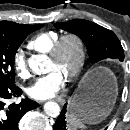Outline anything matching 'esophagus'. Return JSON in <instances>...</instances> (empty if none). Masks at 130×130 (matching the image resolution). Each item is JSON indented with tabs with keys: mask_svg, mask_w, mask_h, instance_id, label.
Returning <instances> with one entry per match:
<instances>
[{
	"mask_svg": "<svg viewBox=\"0 0 130 130\" xmlns=\"http://www.w3.org/2000/svg\"><path fill=\"white\" fill-rule=\"evenodd\" d=\"M54 100L61 105H63L65 103V100L63 98H55ZM39 103H43V102L39 101Z\"/></svg>",
	"mask_w": 130,
	"mask_h": 130,
	"instance_id": "34e87169",
	"label": "esophagus"
}]
</instances>
